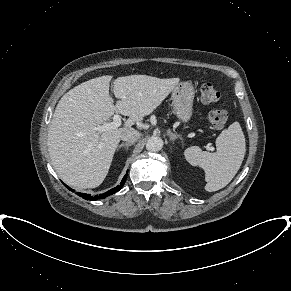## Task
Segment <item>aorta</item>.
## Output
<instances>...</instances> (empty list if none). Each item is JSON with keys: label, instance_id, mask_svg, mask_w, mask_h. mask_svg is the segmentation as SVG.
<instances>
[{"label": "aorta", "instance_id": "obj_1", "mask_svg": "<svg viewBox=\"0 0 291 291\" xmlns=\"http://www.w3.org/2000/svg\"><path fill=\"white\" fill-rule=\"evenodd\" d=\"M163 147V140L160 137L153 136L147 140L146 149L150 152H158Z\"/></svg>", "mask_w": 291, "mask_h": 291}]
</instances>
